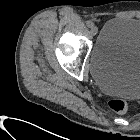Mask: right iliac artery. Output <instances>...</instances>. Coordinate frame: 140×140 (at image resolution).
Segmentation results:
<instances>
[{
	"instance_id": "right-iliac-artery-1",
	"label": "right iliac artery",
	"mask_w": 140,
	"mask_h": 140,
	"mask_svg": "<svg viewBox=\"0 0 140 140\" xmlns=\"http://www.w3.org/2000/svg\"><path fill=\"white\" fill-rule=\"evenodd\" d=\"M87 26L89 27V28H91L92 26H94V23L92 22V21H87Z\"/></svg>"
}]
</instances>
